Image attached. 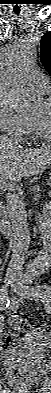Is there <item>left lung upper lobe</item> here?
Returning a JSON list of instances; mask_svg holds the SVG:
<instances>
[{
    "label": "left lung upper lobe",
    "instance_id": "obj_1",
    "mask_svg": "<svg viewBox=\"0 0 51 393\" xmlns=\"http://www.w3.org/2000/svg\"><path fill=\"white\" fill-rule=\"evenodd\" d=\"M40 54L42 64L51 75V32L43 35L40 42Z\"/></svg>",
    "mask_w": 51,
    "mask_h": 393
}]
</instances>
